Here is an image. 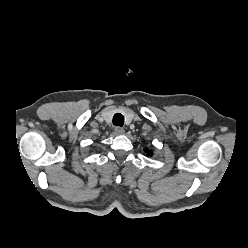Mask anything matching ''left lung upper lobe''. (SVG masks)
I'll return each mask as SVG.
<instances>
[{"mask_svg":"<svg viewBox=\"0 0 248 248\" xmlns=\"http://www.w3.org/2000/svg\"><path fill=\"white\" fill-rule=\"evenodd\" d=\"M147 154L151 155V154H152V152H151V151H147Z\"/></svg>","mask_w":248,"mask_h":248,"instance_id":"left-lung-upper-lobe-1","label":"left lung upper lobe"}]
</instances>
